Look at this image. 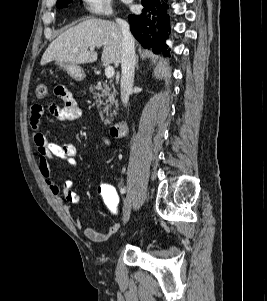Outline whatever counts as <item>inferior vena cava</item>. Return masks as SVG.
<instances>
[{
	"label": "inferior vena cava",
	"mask_w": 267,
	"mask_h": 301,
	"mask_svg": "<svg viewBox=\"0 0 267 301\" xmlns=\"http://www.w3.org/2000/svg\"><path fill=\"white\" fill-rule=\"evenodd\" d=\"M117 24L122 32V53H121V101L127 106L129 94L134 83V69L136 64L134 38L130 33L129 24L122 20L116 19Z\"/></svg>",
	"instance_id": "1"
}]
</instances>
